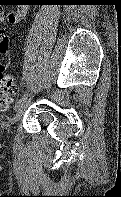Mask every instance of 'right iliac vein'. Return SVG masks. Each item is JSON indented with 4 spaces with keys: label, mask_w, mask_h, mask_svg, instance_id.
Masks as SVG:
<instances>
[{
    "label": "right iliac vein",
    "mask_w": 121,
    "mask_h": 197,
    "mask_svg": "<svg viewBox=\"0 0 121 197\" xmlns=\"http://www.w3.org/2000/svg\"><path fill=\"white\" fill-rule=\"evenodd\" d=\"M27 106V101L25 100L21 106L17 109V112L15 114V116L13 117L12 119V124H15L16 122H18L20 120V118L22 117L24 111H25V108Z\"/></svg>",
    "instance_id": "obj_1"
}]
</instances>
